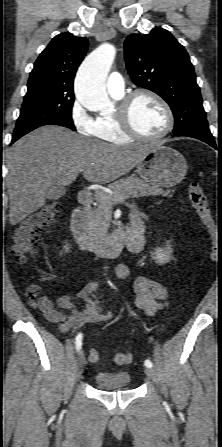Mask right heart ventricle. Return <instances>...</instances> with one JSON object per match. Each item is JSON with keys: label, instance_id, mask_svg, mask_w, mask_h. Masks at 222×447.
Returning <instances> with one entry per match:
<instances>
[{"label": "right heart ventricle", "instance_id": "obj_1", "mask_svg": "<svg viewBox=\"0 0 222 447\" xmlns=\"http://www.w3.org/2000/svg\"><path fill=\"white\" fill-rule=\"evenodd\" d=\"M112 96L116 99L122 97V95ZM94 121L93 136L112 144H126L132 140L121 131L115 113L100 115Z\"/></svg>", "mask_w": 222, "mask_h": 447}]
</instances>
